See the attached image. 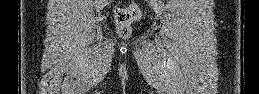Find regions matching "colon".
I'll list each match as a JSON object with an SVG mask.
<instances>
[{
	"label": "colon",
	"mask_w": 259,
	"mask_h": 94,
	"mask_svg": "<svg viewBox=\"0 0 259 94\" xmlns=\"http://www.w3.org/2000/svg\"><path fill=\"white\" fill-rule=\"evenodd\" d=\"M140 17V9L135 2L127 7L117 9L115 21L121 36L127 37L130 34V25Z\"/></svg>",
	"instance_id": "1"
}]
</instances>
